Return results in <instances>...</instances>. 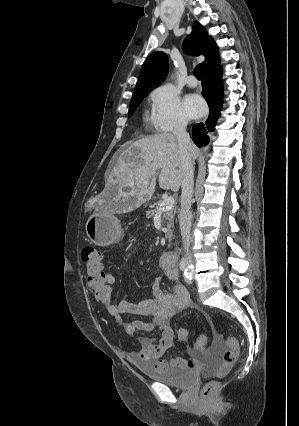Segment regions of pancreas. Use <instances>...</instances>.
<instances>
[{"label":"pancreas","instance_id":"pancreas-1","mask_svg":"<svg viewBox=\"0 0 299 426\" xmlns=\"http://www.w3.org/2000/svg\"><path fill=\"white\" fill-rule=\"evenodd\" d=\"M162 202L163 201L160 200V201L154 203L153 206H152L154 209L149 210L147 212V216L148 217H153V216H155V214L161 212L162 213V219L165 220V221H167V228L169 230V232L166 234V238H168L169 240H171L172 239V230H171V227H173V225H174V215L176 214V209H175V207H172L169 210L159 211L160 204Z\"/></svg>","mask_w":299,"mask_h":426}]
</instances>
